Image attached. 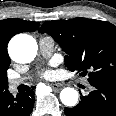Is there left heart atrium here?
I'll use <instances>...</instances> for the list:
<instances>
[{
  "label": "left heart atrium",
  "instance_id": "left-heart-atrium-1",
  "mask_svg": "<svg viewBox=\"0 0 116 116\" xmlns=\"http://www.w3.org/2000/svg\"><path fill=\"white\" fill-rule=\"evenodd\" d=\"M43 77L46 78V79H50L53 77V72L52 71H45L43 73Z\"/></svg>",
  "mask_w": 116,
  "mask_h": 116
}]
</instances>
